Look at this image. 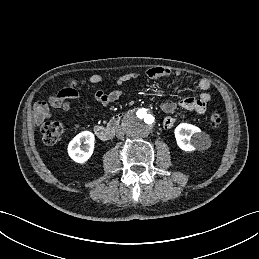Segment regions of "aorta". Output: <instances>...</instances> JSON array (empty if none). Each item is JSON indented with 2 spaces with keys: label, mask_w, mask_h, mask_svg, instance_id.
Returning <instances> with one entry per match:
<instances>
[{
  "label": "aorta",
  "mask_w": 259,
  "mask_h": 259,
  "mask_svg": "<svg viewBox=\"0 0 259 259\" xmlns=\"http://www.w3.org/2000/svg\"><path fill=\"white\" fill-rule=\"evenodd\" d=\"M155 125V118L149 109L141 108L129 113L123 120L126 134L134 139L146 137Z\"/></svg>",
  "instance_id": "aorta-1"
}]
</instances>
